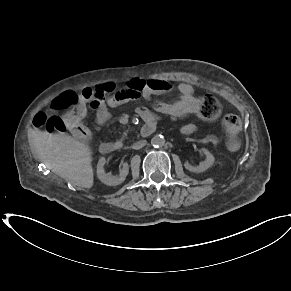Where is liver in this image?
I'll list each match as a JSON object with an SVG mask.
<instances>
[{
	"label": "liver",
	"instance_id": "liver-1",
	"mask_svg": "<svg viewBox=\"0 0 291 291\" xmlns=\"http://www.w3.org/2000/svg\"><path fill=\"white\" fill-rule=\"evenodd\" d=\"M34 158L43 161L54 173L75 186L91 188L94 184L90 147L65 134L32 130L28 134Z\"/></svg>",
	"mask_w": 291,
	"mask_h": 291
}]
</instances>
